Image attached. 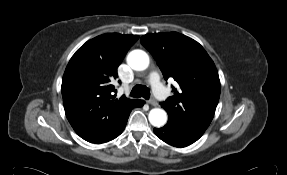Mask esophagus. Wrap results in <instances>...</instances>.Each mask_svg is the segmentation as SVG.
<instances>
[{
	"label": "esophagus",
	"mask_w": 287,
	"mask_h": 175,
	"mask_svg": "<svg viewBox=\"0 0 287 175\" xmlns=\"http://www.w3.org/2000/svg\"><path fill=\"white\" fill-rule=\"evenodd\" d=\"M148 103L154 107L158 106V102L154 98H151Z\"/></svg>",
	"instance_id": "34e87169"
}]
</instances>
